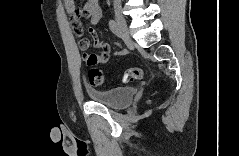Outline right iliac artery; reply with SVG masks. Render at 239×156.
Masks as SVG:
<instances>
[{
    "mask_svg": "<svg viewBox=\"0 0 239 156\" xmlns=\"http://www.w3.org/2000/svg\"><path fill=\"white\" fill-rule=\"evenodd\" d=\"M109 27L115 35H117L118 37H121V30H120L116 21L110 20L109 21Z\"/></svg>",
    "mask_w": 239,
    "mask_h": 156,
    "instance_id": "obj_1",
    "label": "right iliac artery"
}]
</instances>
